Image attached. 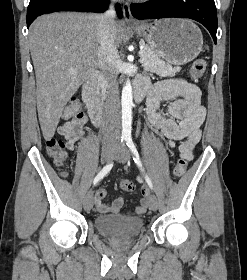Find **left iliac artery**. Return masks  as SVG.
<instances>
[{
  "mask_svg": "<svg viewBox=\"0 0 247 280\" xmlns=\"http://www.w3.org/2000/svg\"><path fill=\"white\" fill-rule=\"evenodd\" d=\"M126 140V144L127 146L129 147L130 151H131V154L133 156V160L134 162L137 164V166L139 167V169L144 172V168L142 166V162L140 160V156H139V153L136 149V146L134 145L133 143V140L131 138V136H128L125 138ZM145 179H146V182L148 184V186L150 187V189H153V184H152V181L151 179L148 177V175H145Z\"/></svg>",
  "mask_w": 247,
  "mask_h": 280,
  "instance_id": "left-iliac-artery-1",
  "label": "left iliac artery"
}]
</instances>
